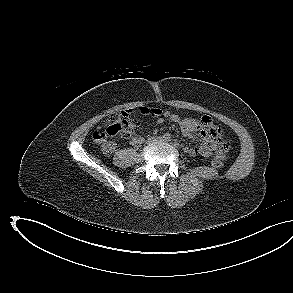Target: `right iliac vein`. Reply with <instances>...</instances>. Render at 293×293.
Segmentation results:
<instances>
[{"label":"right iliac vein","mask_w":293,"mask_h":293,"mask_svg":"<svg viewBox=\"0 0 293 293\" xmlns=\"http://www.w3.org/2000/svg\"><path fill=\"white\" fill-rule=\"evenodd\" d=\"M156 140H157V139H151L150 142H152V141H156Z\"/></svg>","instance_id":"obj_1"}]
</instances>
